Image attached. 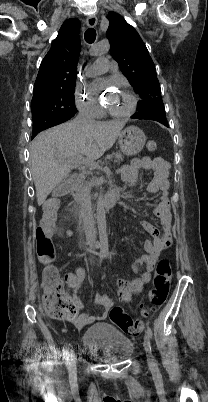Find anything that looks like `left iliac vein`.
Instances as JSON below:
<instances>
[{
    "mask_svg": "<svg viewBox=\"0 0 208 402\" xmlns=\"http://www.w3.org/2000/svg\"><path fill=\"white\" fill-rule=\"evenodd\" d=\"M144 347H145V351L147 354L148 363H149V365H153L154 357L152 355L151 344H150V340H149V337L147 334L144 336Z\"/></svg>",
    "mask_w": 208,
    "mask_h": 402,
    "instance_id": "4c4485c4",
    "label": "left iliac vein"
}]
</instances>
